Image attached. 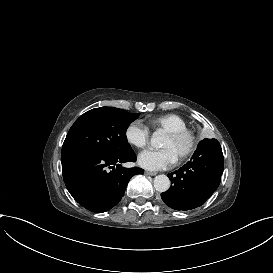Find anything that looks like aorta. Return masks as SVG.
<instances>
[{
  "label": "aorta",
  "mask_w": 273,
  "mask_h": 273,
  "mask_svg": "<svg viewBox=\"0 0 273 273\" xmlns=\"http://www.w3.org/2000/svg\"><path fill=\"white\" fill-rule=\"evenodd\" d=\"M150 144L153 148H159L161 144V136L154 132L151 139ZM154 187L158 192H166L170 188V180L169 178L162 174L158 175L154 179Z\"/></svg>",
  "instance_id": "aorta-1"
}]
</instances>
